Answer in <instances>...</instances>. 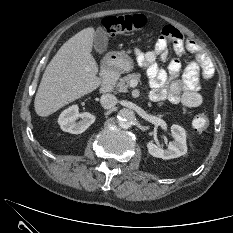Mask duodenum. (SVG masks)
Returning a JSON list of instances; mask_svg holds the SVG:
<instances>
[{
  "label": "duodenum",
  "instance_id": "410a0bca",
  "mask_svg": "<svg viewBox=\"0 0 233 233\" xmlns=\"http://www.w3.org/2000/svg\"><path fill=\"white\" fill-rule=\"evenodd\" d=\"M101 77H102V84L100 88L101 92L108 93L112 91L118 77V72L116 67L111 63V61H106L103 64Z\"/></svg>",
  "mask_w": 233,
  "mask_h": 233
}]
</instances>
